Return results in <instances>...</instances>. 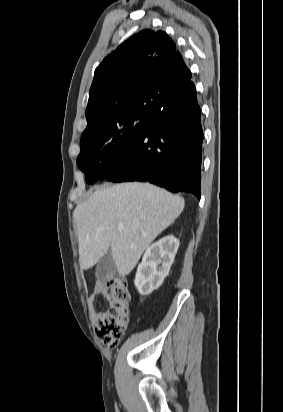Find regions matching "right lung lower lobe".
Returning <instances> with one entry per match:
<instances>
[{
	"instance_id": "98d812e1",
	"label": "right lung lower lobe",
	"mask_w": 283,
	"mask_h": 412,
	"mask_svg": "<svg viewBox=\"0 0 283 412\" xmlns=\"http://www.w3.org/2000/svg\"><path fill=\"white\" fill-rule=\"evenodd\" d=\"M203 131L196 89L190 80L173 91L147 121L128 152L99 179L148 181L200 199Z\"/></svg>"
}]
</instances>
